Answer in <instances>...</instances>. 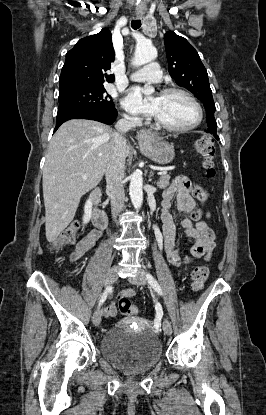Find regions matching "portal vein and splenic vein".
<instances>
[{
    "label": "portal vein and splenic vein",
    "mask_w": 266,
    "mask_h": 415,
    "mask_svg": "<svg viewBox=\"0 0 266 415\" xmlns=\"http://www.w3.org/2000/svg\"><path fill=\"white\" fill-rule=\"evenodd\" d=\"M159 175H163V174H167V170H162L160 172H158ZM83 179H87V177L84 175L82 176Z\"/></svg>",
    "instance_id": "portal-vein-and-splenic-vein-1"
}]
</instances>
